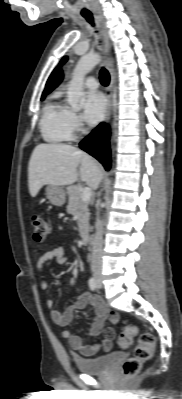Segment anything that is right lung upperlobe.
Returning <instances> with one entry per match:
<instances>
[{
	"instance_id": "obj_1",
	"label": "right lung upper lobe",
	"mask_w": 182,
	"mask_h": 399,
	"mask_svg": "<svg viewBox=\"0 0 182 399\" xmlns=\"http://www.w3.org/2000/svg\"><path fill=\"white\" fill-rule=\"evenodd\" d=\"M62 78H63L62 71L60 69H55L46 83L45 90L42 94V98H44L53 89H55L62 81Z\"/></svg>"
}]
</instances>
